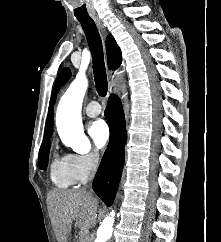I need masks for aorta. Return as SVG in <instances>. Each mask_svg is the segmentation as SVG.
I'll return each instance as SVG.
<instances>
[{"label":"aorta","instance_id":"1","mask_svg":"<svg viewBox=\"0 0 221 242\" xmlns=\"http://www.w3.org/2000/svg\"><path fill=\"white\" fill-rule=\"evenodd\" d=\"M87 88V78L78 75L62 96L56 114L59 135L66 144L79 153L87 152L90 147L81 119L82 102ZM113 224V216L106 217L97 230L95 242L108 241L113 232Z\"/></svg>","mask_w":221,"mask_h":242}]
</instances>
